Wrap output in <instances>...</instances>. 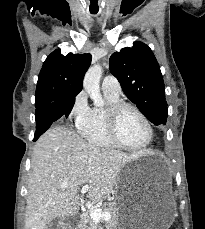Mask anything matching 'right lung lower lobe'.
<instances>
[{"instance_id":"1","label":"right lung lower lobe","mask_w":205,"mask_h":229,"mask_svg":"<svg viewBox=\"0 0 205 229\" xmlns=\"http://www.w3.org/2000/svg\"><path fill=\"white\" fill-rule=\"evenodd\" d=\"M67 98L68 97H63L36 108V132L33 141H36L46 130H48L52 122L58 120L63 115L68 117L75 102H71L67 100Z\"/></svg>"}]
</instances>
